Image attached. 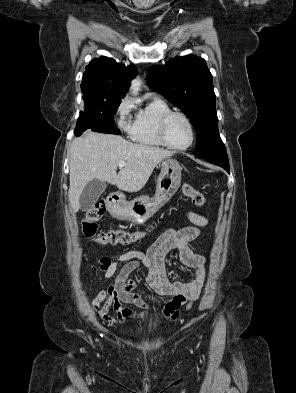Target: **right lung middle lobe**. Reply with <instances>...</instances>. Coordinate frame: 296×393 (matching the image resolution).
I'll return each mask as SVG.
<instances>
[{"instance_id": "1", "label": "right lung middle lobe", "mask_w": 296, "mask_h": 393, "mask_svg": "<svg viewBox=\"0 0 296 393\" xmlns=\"http://www.w3.org/2000/svg\"><path fill=\"white\" fill-rule=\"evenodd\" d=\"M122 98L85 100V110L80 112L77 123L92 122L107 127H115L114 115Z\"/></svg>"}]
</instances>
